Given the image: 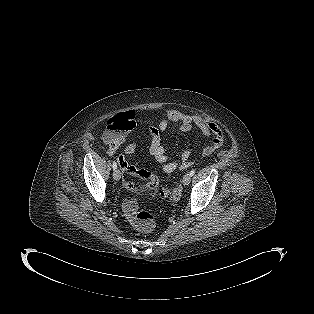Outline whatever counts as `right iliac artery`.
<instances>
[{
    "label": "right iliac artery",
    "mask_w": 314,
    "mask_h": 314,
    "mask_svg": "<svg viewBox=\"0 0 314 314\" xmlns=\"http://www.w3.org/2000/svg\"><path fill=\"white\" fill-rule=\"evenodd\" d=\"M113 169H117V163L115 161H113V165H112Z\"/></svg>",
    "instance_id": "right-iliac-artery-1"
}]
</instances>
